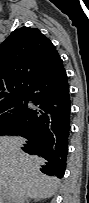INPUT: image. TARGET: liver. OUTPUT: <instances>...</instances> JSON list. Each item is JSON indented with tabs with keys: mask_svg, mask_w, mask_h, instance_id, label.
I'll return each instance as SVG.
<instances>
[{
	"mask_svg": "<svg viewBox=\"0 0 89 203\" xmlns=\"http://www.w3.org/2000/svg\"><path fill=\"white\" fill-rule=\"evenodd\" d=\"M21 137L0 138V195L7 203H17L22 196L27 199L51 198L58 187V179L38 171L44 160L23 152Z\"/></svg>",
	"mask_w": 89,
	"mask_h": 203,
	"instance_id": "liver-1",
	"label": "liver"
}]
</instances>
